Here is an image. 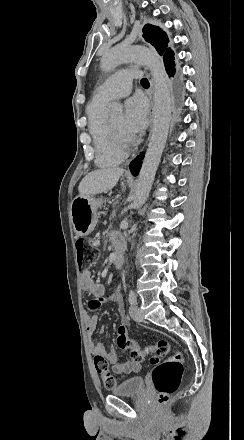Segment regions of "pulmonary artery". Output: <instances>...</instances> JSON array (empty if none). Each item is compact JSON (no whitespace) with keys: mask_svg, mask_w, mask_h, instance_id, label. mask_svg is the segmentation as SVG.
Returning <instances> with one entry per match:
<instances>
[{"mask_svg":"<svg viewBox=\"0 0 244 440\" xmlns=\"http://www.w3.org/2000/svg\"><path fill=\"white\" fill-rule=\"evenodd\" d=\"M144 69H115L108 76V82L101 83V90H96L94 102H109L125 97L131 89L132 78H144Z\"/></svg>","mask_w":244,"mask_h":440,"instance_id":"e3ab8cb5","label":"pulmonary artery"}]
</instances>
